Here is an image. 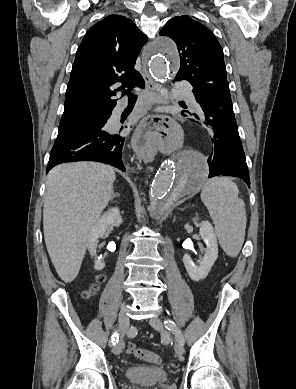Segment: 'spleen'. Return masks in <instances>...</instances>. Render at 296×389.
Wrapping results in <instances>:
<instances>
[{"mask_svg": "<svg viewBox=\"0 0 296 389\" xmlns=\"http://www.w3.org/2000/svg\"><path fill=\"white\" fill-rule=\"evenodd\" d=\"M238 194L237 185L226 177L208 180L200 194L215 226L219 244L230 257L238 255L245 238L246 210Z\"/></svg>", "mask_w": 296, "mask_h": 389, "instance_id": "3e777b00", "label": "spleen"}]
</instances>
